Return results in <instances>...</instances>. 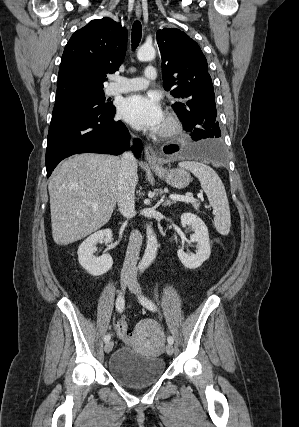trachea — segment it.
<instances>
[{
  "instance_id": "obj_1",
  "label": "trachea",
  "mask_w": 299,
  "mask_h": 427,
  "mask_svg": "<svg viewBox=\"0 0 299 427\" xmlns=\"http://www.w3.org/2000/svg\"><path fill=\"white\" fill-rule=\"evenodd\" d=\"M142 36V26L139 21H135L132 27L131 42L133 50L139 45Z\"/></svg>"
}]
</instances>
